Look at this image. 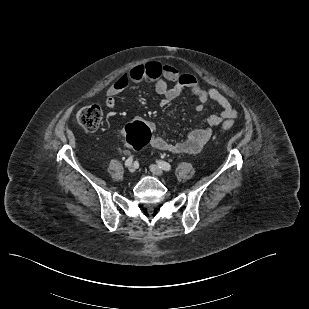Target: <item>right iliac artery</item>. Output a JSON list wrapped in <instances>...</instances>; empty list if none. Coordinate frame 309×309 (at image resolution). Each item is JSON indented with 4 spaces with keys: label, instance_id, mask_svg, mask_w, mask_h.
Masks as SVG:
<instances>
[{
    "label": "right iliac artery",
    "instance_id": "82829eb1",
    "mask_svg": "<svg viewBox=\"0 0 309 309\" xmlns=\"http://www.w3.org/2000/svg\"><path fill=\"white\" fill-rule=\"evenodd\" d=\"M133 162V157L130 156L126 161H125V166L128 167L132 164Z\"/></svg>",
    "mask_w": 309,
    "mask_h": 309
}]
</instances>
